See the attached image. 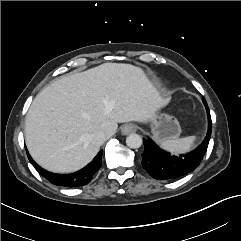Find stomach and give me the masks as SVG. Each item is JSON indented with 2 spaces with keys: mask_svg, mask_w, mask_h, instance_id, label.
Segmentation results:
<instances>
[{
  "mask_svg": "<svg viewBox=\"0 0 241 241\" xmlns=\"http://www.w3.org/2000/svg\"><path fill=\"white\" fill-rule=\"evenodd\" d=\"M151 130L153 138L157 142L177 139L181 133V127L178 120L168 114H156L151 120Z\"/></svg>",
  "mask_w": 241,
  "mask_h": 241,
  "instance_id": "obj_1",
  "label": "stomach"
}]
</instances>
